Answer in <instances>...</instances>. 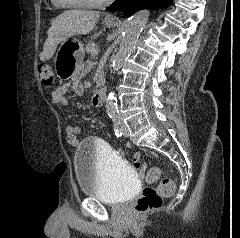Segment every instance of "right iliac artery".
Masks as SVG:
<instances>
[{
  "label": "right iliac artery",
  "instance_id": "82829eb1",
  "mask_svg": "<svg viewBox=\"0 0 240 238\" xmlns=\"http://www.w3.org/2000/svg\"><path fill=\"white\" fill-rule=\"evenodd\" d=\"M112 120H113L115 135L117 137H121L122 136V125H121L120 118L113 117Z\"/></svg>",
  "mask_w": 240,
  "mask_h": 238
}]
</instances>
